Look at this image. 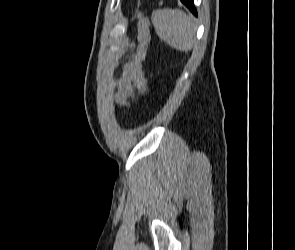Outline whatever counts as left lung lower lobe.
<instances>
[{"label":"left lung lower lobe","instance_id":"left-lung-lower-lobe-1","mask_svg":"<svg viewBox=\"0 0 295 250\" xmlns=\"http://www.w3.org/2000/svg\"><path fill=\"white\" fill-rule=\"evenodd\" d=\"M181 2L184 3L194 15H197L193 0H181Z\"/></svg>","mask_w":295,"mask_h":250}]
</instances>
